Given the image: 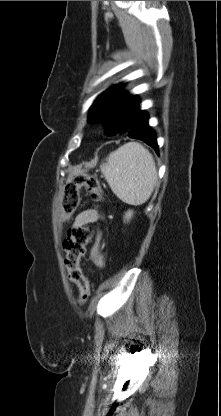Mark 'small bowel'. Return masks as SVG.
I'll use <instances>...</instances> for the list:
<instances>
[{"mask_svg": "<svg viewBox=\"0 0 221 416\" xmlns=\"http://www.w3.org/2000/svg\"><path fill=\"white\" fill-rule=\"evenodd\" d=\"M101 218V215L95 211V210H85L80 212L74 219L73 222V227L74 226H81V225H87V224H92L95 223L96 221H98ZM100 240H101V235L98 234L96 241L91 249L90 252V256L92 261L97 265V266H103L104 261H103V256L102 253L100 251Z\"/></svg>", "mask_w": 221, "mask_h": 416, "instance_id": "1", "label": "small bowel"}]
</instances>
